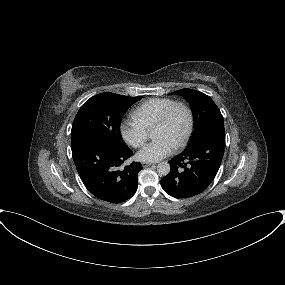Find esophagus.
I'll list each match as a JSON object with an SVG mask.
<instances>
[{
	"label": "esophagus",
	"instance_id": "esophagus-1",
	"mask_svg": "<svg viewBox=\"0 0 285 285\" xmlns=\"http://www.w3.org/2000/svg\"><path fill=\"white\" fill-rule=\"evenodd\" d=\"M152 163H148V162H142V166L143 167H148V166H151Z\"/></svg>",
	"mask_w": 285,
	"mask_h": 285
}]
</instances>
